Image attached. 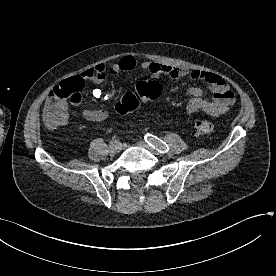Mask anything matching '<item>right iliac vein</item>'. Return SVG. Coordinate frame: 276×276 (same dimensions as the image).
I'll return each instance as SVG.
<instances>
[{"instance_id":"63e3f726","label":"right iliac vein","mask_w":276,"mask_h":276,"mask_svg":"<svg viewBox=\"0 0 276 276\" xmlns=\"http://www.w3.org/2000/svg\"><path fill=\"white\" fill-rule=\"evenodd\" d=\"M121 149H122V146L121 145H115V146H112V145H110L109 146V153L111 154V155H114V154H116L117 152H119V151H121Z\"/></svg>"}]
</instances>
